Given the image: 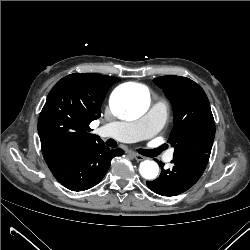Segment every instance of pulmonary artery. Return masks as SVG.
Listing matches in <instances>:
<instances>
[{
  "label": "pulmonary artery",
  "instance_id": "1",
  "mask_svg": "<svg viewBox=\"0 0 250 250\" xmlns=\"http://www.w3.org/2000/svg\"><path fill=\"white\" fill-rule=\"evenodd\" d=\"M167 117V107L162 101L156 102L147 115L136 122H113L105 126L107 132L114 138L133 142L146 139L159 131ZM173 159V151L166 154L165 160Z\"/></svg>",
  "mask_w": 250,
  "mask_h": 250
}]
</instances>
